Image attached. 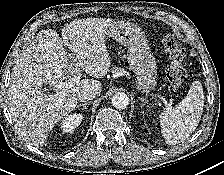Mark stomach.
Masks as SVG:
<instances>
[{
	"instance_id": "0dacf381",
	"label": "stomach",
	"mask_w": 224,
	"mask_h": 175,
	"mask_svg": "<svg viewBox=\"0 0 224 175\" xmlns=\"http://www.w3.org/2000/svg\"><path fill=\"white\" fill-rule=\"evenodd\" d=\"M107 35L127 47V60L136 75V88L149 92L157 84V64L144 33L135 24L115 22L107 30Z\"/></svg>"
}]
</instances>
